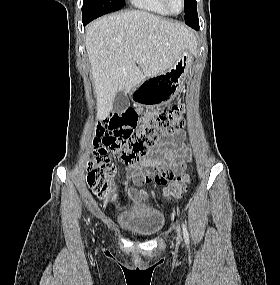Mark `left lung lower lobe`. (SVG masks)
Listing matches in <instances>:
<instances>
[{
  "mask_svg": "<svg viewBox=\"0 0 280 285\" xmlns=\"http://www.w3.org/2000/svg\"><path fill=\"white\" fill-rule=\"evenodd\" d=\"M191 27L194 28V29H196V30L199 29V25H198V26L192 25Z\"/></svg>",
  "mask_w": 280,
  "mask_h": 285,
  "instance_id": "obj_1",
  "label": "left lung lower lobe"
}]
</instances>
